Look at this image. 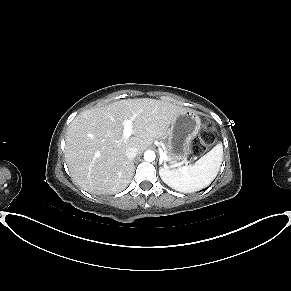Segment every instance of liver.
I'll use <instances>...</instances> for the list:
<instances>
[{
	"label": "liver",
	"mask_w": 291,
	"mask_h": 291,
	"mask_svg": "<svg viewBox=\"0 0 291 291\" xmlns=\"http://www.w3.org/2000/svg\"><path fill=\"white\" fill-rule=\"evenodd\" d=\"M189 109L150 99H124L88 109L77 115L66 134L65 159L72 179L94 194L123 191L134 174V163L125 152L147 149L169 132V126ZM132 119L133 136L124 139L123 121Z\"/></svg>",
	"instance_id": "1"
}]
</instances>
